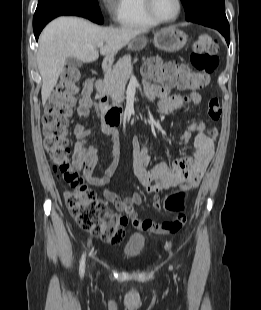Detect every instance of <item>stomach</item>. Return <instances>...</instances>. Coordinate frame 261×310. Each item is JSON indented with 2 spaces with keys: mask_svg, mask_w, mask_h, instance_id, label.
I'll return each mask as SVG.
<instances>
[{
  "mask_svg": "<svg viewBox=\"0 0 261 310\" xmlns=\"http://www.w3.org/2000/svg\"><path fill=\"white\" fill-rule=\"evenodd\" d=\"M187 35L175 27H167L158 31L154 35V45L160 50L175 52L182 49L187 42ZM147 43L143 35L135 37L129 44L128 48L132 51L141 50Z\"/></svg>",
  "mask_w": 261,
  "mask_h": 310,
  "instance_id": "1",
  "label": "stomach"
}]
</instances>
